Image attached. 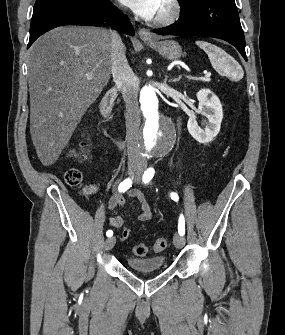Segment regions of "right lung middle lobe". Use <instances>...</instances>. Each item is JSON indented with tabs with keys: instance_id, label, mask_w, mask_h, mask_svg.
<instances>
[{
	"instance_id": "dd1d6c3e",
	"label": "right lung middle lobe",
	"mask_w": 285,
	"mask_h": 335,
	"mask_svg": "<svg viewBox=\"0 0 285 335\" xmlns=\"http://www.w3.org/2000/svg\"><path fill=\"white\" fill-rule=\"evenodd\" d=\"M44 1H47V0H36L35 4H39V3L44 2ZM84 1H97V0H84Z\"/></svg>"
}]
</instances>
